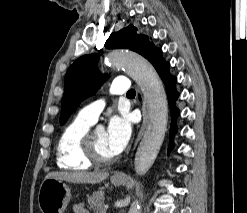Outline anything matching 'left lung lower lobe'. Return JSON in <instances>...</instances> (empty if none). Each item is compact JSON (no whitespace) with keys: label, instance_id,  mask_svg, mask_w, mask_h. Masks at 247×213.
Masks as SVG:
<instances>
[{"label":"left lung lower lobe","instance_id":"1","mask_svg":"<svg viewBox=\"0 0 247 213\" xmlns=\"http://www.w3.org/2000/svg\"><path fill=\"white\" fill-rule=\"evenodd\" d=\"M153 66L155 67L156 71L158 72V74L162 78V80L165 84V87H166V92H167V96L169 99V105H170L171 115H172V123H171V130H170V138H172L173 135L177 131L175 121H176V118L179 114L178 109H176L174 107V103H175L177 97L179 96V94L175 90L176 78L169 74V72H168L169 63L168 62L161 60L158 63L154 64Z\"/></svg>","mask_w":247,"mask_h":213}]
</instances>
